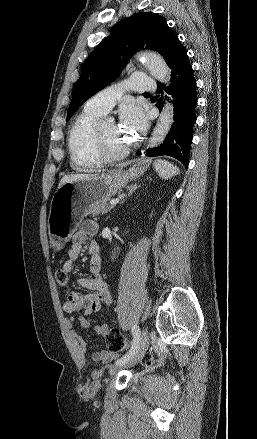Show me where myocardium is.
<instances>
[{
	"label": "myocardium",
	"instance_id": "obj_1",
	"mask_svg": "<svg viewBox=\"0 0 257 439\" xmlns=\"http://www.w3.org/2000/svg\"><path fill=\"white\" fill-rule=\"evenodd\" d=\"M96 145L97 149L102 157V160H118L124 156H126L130 150L129 146H124L118 150H112L108 147L106 140L104 138L103 133L100 131L97 132L96 136Z\"/></svg>",
	"mask_w": 257,
	"mask_h": 439
}]
</instances>
